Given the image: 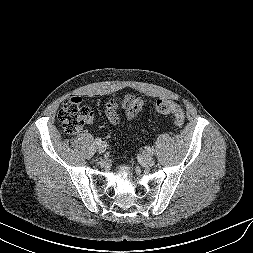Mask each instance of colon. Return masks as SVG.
Returning <instances> with one entry per match:
<instances>
[{"mask_svg": "<svg viewBox=\"0 0 253 253\" xmlns=\"http://www.w3.org/2000/svg\"><path fill=\"white\" fill-rule=\"evenodd\" d=\"M156 111L162 115H173L177 126L183 125L185 113L183 108L176 102L168 99H160L156 102ZM59 121L69 134L78 133L82 127L91 123L94 119L92 111L82 104L78 97L67 99L58 113Z\"/></svg>", "mask_w": 253, "mask_h": 253, "instance_id": "obj_1", "label": "colon"}]
</instances>
